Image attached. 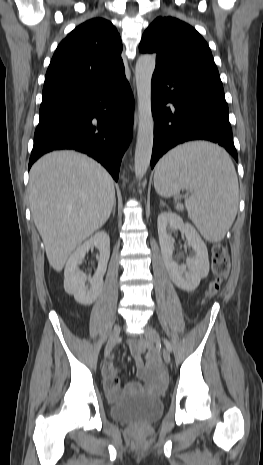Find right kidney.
<instances>
[{"label": "right kidney", "instance_id": "right-kidney-1", "mask_svg": "<svg viewBox=\"0 0 263 465\" xmlns=\"http://www.w3.org/2000/svg\"><path fill=\"white\" fill-rule=\"evenodd\" d=\"M94 247L100 251L98 267L93 277H87L79 270L78 265L83 261L86 253ZM109 257L110 238L104 231L97 232L69 257L64 270L65 291L74 295L75 300L83 305L94 303L103 288V276L107 269ZM87 280L90 286L85 285Z\"/></svg>", "mask_w": 263, "mask_h": 465}]
</instances>
